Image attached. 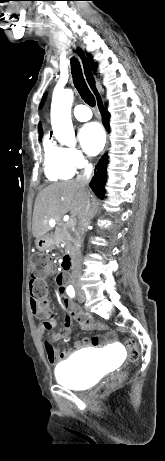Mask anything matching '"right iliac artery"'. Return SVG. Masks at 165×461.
<instances>
[{"label": "right iliac artery", "mask_w": 165, "mask_h": 461, "mask_svg": "<svg viewBox=\"0 0 165 461\" xmlns=\"http://www.w3.org/2000/svg\"><path fill=\"white\" fill-rule=\"evenodd\" d=\"M67 294H68L69 296H71V297L74 296L75 291H74V289H73L72 286H68V287H67Z\"/></svg>", "instance_id": "1"}]
</instances>
